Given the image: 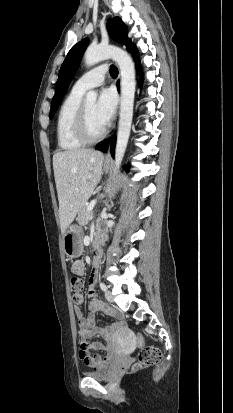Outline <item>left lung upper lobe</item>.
Wrapping results in <instances>:
<instances>
[{
	"instance_id": "1",
	"label": "left lung upper lobe",
	"mask_w": 233,
	"mask_h": 413,
	"mask_svg": "<svg viewBox=\"0 0 233 413\" xmlns=\"http://www.w3.org/2000/svg\"><path fill=\"white\" fill-rule=\"evenodd\" d=\"M110 36L117 42L126 45L129 50L134 46L131 40L128 38V30L126 25L119 17L110 19L107 24ZM88 44V40L84 39L75 44L68 52L59 71L58 80L56 83L55 94L52 99L50 118L53 117L56 108L61 102L74 74L78 68L82 53Z\"/></svg>"
}]
</instances>
